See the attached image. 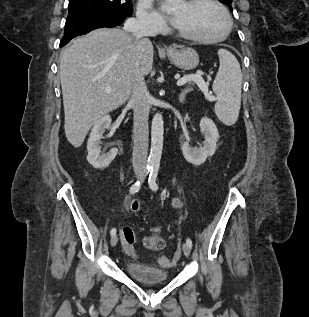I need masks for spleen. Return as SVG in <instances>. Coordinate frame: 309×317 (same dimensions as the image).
Listing matches in <instances>:
<instances>
[{
  "label": "spleen",
  "instance_id": "1",
  "mask_svg": "<svg viewBox=\"0 0 309 317\" xmlns=\"http://www.w3.org/2000/svg\"><path fill=\"white\" fill-rule=\"evenodd\" d=\"M219 69L212 85L216 94L215 113L225 125H233L241 106L242 73L236 57L226 49H219Z\"/></svg>",
  "mask_w": 309,
  "mask_h": 317
}]
</instances>
